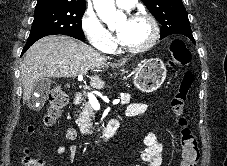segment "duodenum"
<instances>
[{"instance_id": "1", "label": "duodenum", "mask_w": 227, "mask_h": 166, "mask_svg": "<svg viewBox=\"0 0 227 166\" xmlns=\"http://www.w3.org/2000/svg\"><path fill=\"white\" fill-rule=\"evenodd\" d=\"M84 101V98L81 94H78L74 98V104L80 105ZM118 128V121L114 118L110 119L105 127V129L102 132L101 139L102 140H108L110 139L116 132Z\"/></svg>"}]
</instances>
